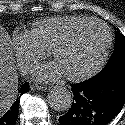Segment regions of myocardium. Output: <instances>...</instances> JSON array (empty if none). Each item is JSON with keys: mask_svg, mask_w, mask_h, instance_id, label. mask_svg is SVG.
Here are the masks:
<instances>
[{"mask_svg": "<svg viewBox=\"0 0 125 125\" xmlns=\"http://www.w3.org/2000/svg\"><path fill=\"white\" fill-rule=\"evenodd\" d=\"M92 24H98L105 29L106 36H107L105 47H104L103 52H102L100 58L98 59V61L93 66H91L89 69H87L86 71L79 73V74L66 75V77L71 81H82L87 78H90L93 75H95L96 73H98L104 67V65L106 64V62L108 60V57L110 54V49L112 46V41H113V34H112L110 27L99 19L90 18L88 20H84V21L78 23L77 25L73 26L72 28H70L66 33H64L61 37H59L54 42V44L52 45V47L50 49L51 55L55 58L58 50L62 46L67 44L79 30H81L85 26L92 25Z\"/></svg>", "mask_w": 125, "mask_h": 125, "instance_id": "obj_1", "label": "myocardium"}]
</instances>
